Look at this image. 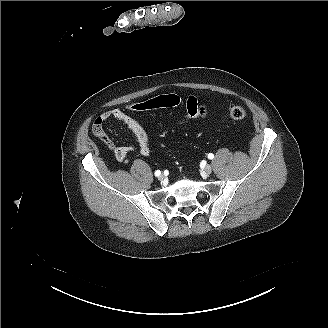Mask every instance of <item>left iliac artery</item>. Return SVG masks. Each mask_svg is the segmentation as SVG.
<instances>
[{
	"label": "left iliac artery",
	"instance_id": "left-iliac-artery-1",
	"mask_svg": "<svg viewBox=\"0 0 328 328\" xmlns=\"http://www.w3.org/2000/svg\"><path fill=\"white\" fill-rule=\"evenodd\" d=\"M208 158H209V159H213V158H214V155H213L212 153H209V154H208Z\"/></svg>",
	"mask_w": 328,
	"mask_h": 328
}]
</instances>
